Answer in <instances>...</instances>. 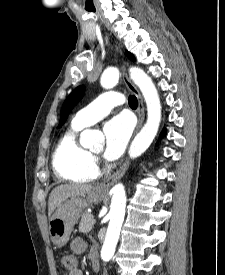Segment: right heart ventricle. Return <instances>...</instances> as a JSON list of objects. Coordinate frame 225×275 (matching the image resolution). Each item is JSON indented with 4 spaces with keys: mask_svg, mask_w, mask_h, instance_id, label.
<instances>
[{
    "mask_svg": "<svg viewBox=\"0 0 225 275\" xmlns=\"http://www.w3.org/2000/svg\"><path fill=\"white\" fill-rule=\"evenodd\" d=\"M82 129V126L72 124L62 135L53 152L54 172L67 181L88 182L98 176L94 157L78 140V133Z\"/></svg>",
    "mask_w": 225,
    "mask_h": 275,
    "instance_id": "right-heart-ventricle-1",
    "label": "right heart ventricle"
}]
</instances>
